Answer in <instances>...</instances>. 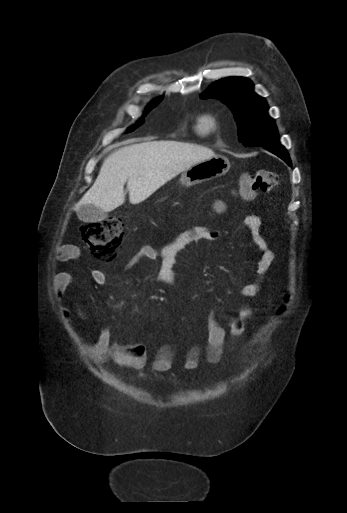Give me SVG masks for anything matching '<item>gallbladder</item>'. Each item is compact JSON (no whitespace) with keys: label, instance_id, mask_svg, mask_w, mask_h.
I'll return each mask as SVG.
<instances>
[{"label":"gallbladder","instance_id":"1","mask_svg":"<svg viewBox=\"0 0 347 513\" xmlns=\"http://www.w3.org/2000/svg\"><path fill=\"white\" fill-rule=\"evenodd\" d=\"M77 216L81 221L86 223L101 221L107 218V214L104 211L90 204L82 206Z\"/></svg>","mask_w":347,"mask_h":513}]
</instances>
